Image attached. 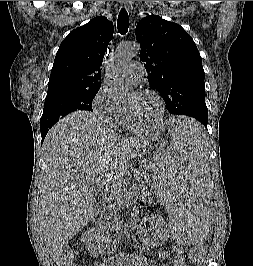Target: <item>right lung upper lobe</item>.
I'll use <instances>...</instances> for the list:
<instances>
[{
  "mask_svg": "<svg viewBox=\"0 0 253 266\" xmlns=\"http://www.w3.org/2000/svg\"><path fill=\"white\" fill-rule=\"evenodd\" d=\"M112 37L113 23L104 16L70 32L56 53L48 93L100 87L101 66Z\"/></svg>",
  "mask_w": 253,
  "mask_h": 266,
  "instance_id": "right-lung-upper-lobe-1",
  "label": "right lung upper lobe"
}]
</instances>
